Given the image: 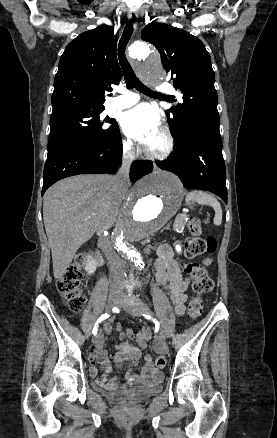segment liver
Instances as JSON below:
<instances>
[{
  "label": "liver",
  "mask_w": 277,
  "mask_h": 438,
  "mask_svg": "<svg viewBox=\"0 0 277 438\" xmlns=\"http://www.w3.org/2000/svg\"><path fill=\"white\" fill-rule=\"evenodd\" d=\"M125 192L107 174L71 176L45 192L43 220L56 280L63 278L77 250L95 232L113 226L122 212Z\"/></svg>",
  "instance_id": "liver-1"
}]
</instances>
